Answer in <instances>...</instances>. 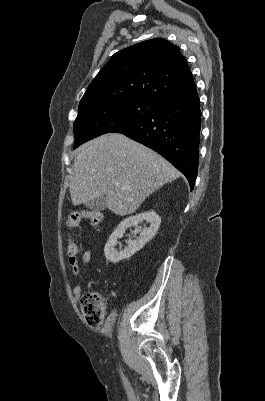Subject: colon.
<instances>
[{
    "mask_svg": "<svg viewBox=\"0 0 265 401\" xmlns=\"http://www.w3.org/2000/svg\"><path fill=\"white\" fill-rule=\"evenodd\" d=\"M102 218V213L98 211H73L68 217V225L70 227H77L83 219H88L93 225H98L102 221ZM67 249L69 256H76L79 252L77 244L72 240L69 241ZM80 305L87 324L99 326L103 323L106 316V304L100 293L90 292L85 294L81 299Z\"/></svg>",
    "mask_w": 265,
    "mask_h": 401,
    "instance_id": "obj_1",
    "label": "colon"
}]
</instances>
